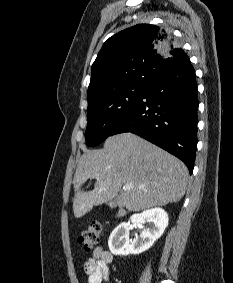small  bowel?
I'll return each mask as SVG.
<instances>
[{
  "instance_id": "obj_1",
  "label": "small bowel",
  "mask_w": 233,
  "mask_h": 283,
  "mask_svg": "<svg viewBox=\"0 0 233 283\" xmlns=\"http://www.w3.org/2000/svg\"><path fill=\"white\" fill-rule=\"evenodd\" d=\"M112 254L103 247H96L84 263V271L88 275V283H103L109 278V264Z\"/></svg>"
}]
</instances>
